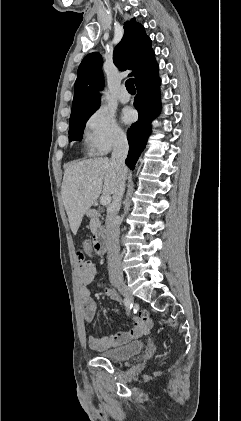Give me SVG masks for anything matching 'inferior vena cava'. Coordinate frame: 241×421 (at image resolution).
Wrapping results in <instances>:
<instances>
[{"mask_svg": "<svg viewBox=\"0 0 241 421\" xmlns=\"http://www.w3.org/2000/svg\"><path fill=\"white\" fill-rule=\"evenodd\" d=\"M129 150L125 136H120L114 143L111 162L119 173L118 183L113 194V201L108 208L106 216V236L108 243V271L111 277L122 278L121 257L119 246V220L117 214L120 210L121 199L125 191L127 167L125 159Z\"/></svg>", "mask_w": 241, "mask_h": 421, "instance_id": "obj_1", "label": "inferior vena cava"}]
</instances>
